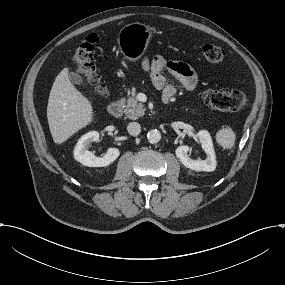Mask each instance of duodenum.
Returning a JSON list of instances; mask_svg holds the SVG:
<instances>
[{"label": "duodenum", "mask_w": 285, "mask_h": 285, "mask_svg": "<svg viewBox=\"0 0 285 285\" xmlns=\"http://www.w3.org/2000/svg\"><path fill=\"white\" fill-rule=\"evenodd\" d=\"M165 101H168L171 98V95H165L164 97ZM109 114L114 118H119L122 115L123 106L122 103L117 100L110 104L108 108Z\"/></svg>", "instance_id": "obj_1"}]
</instances>
